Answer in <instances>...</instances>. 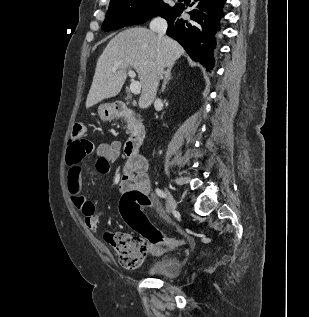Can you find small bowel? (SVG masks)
<instances>
[{
	"label": "small bowel",
	"instance_id": "c3829d8e",
	"mask_svg": "<svg viewBox=\"0 0 309 317\" xmlns=\"http://www.w3.org/2000/svg\"><path fill=\"white\" fill-rule=\"evenodd\" d=\"M89 141L82 142L78 148L81 158L74 162H67V189L71 197L73 205L81 211L84 216V224L92 232H97L100 223V213L96 205L87 200L82 190V161L93 150H88ZM122 153V145L120 141L114 140L107 143H100L96 147L97 158L95 160V170L99 174H108L110 164L117 161ZM148 162L142 155L129 157L125 162L121 176L118 182V189L121 193L129 191H138L145 195L150 193V180L148 176ZM155 208L158 212H162L158 203L153 200ZM164 248L155 247V254L162 253Z\"/></svg>",
	"mask_w": 309,
	"mask_h": 317
}]
</instances>
